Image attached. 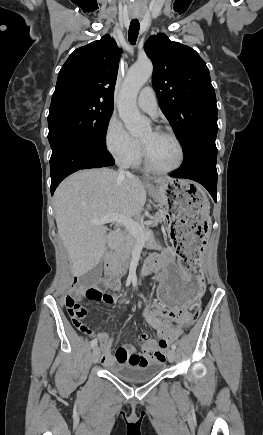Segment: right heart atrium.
<instances>
[{"mask_svg": "<svg viewBox=\"0 0 263 435\" xmlns=\"http://www.w3.org/2000/svg\"><path fill=\"white\" fill-rule=\"evenodd\" d=\"M104 143L109 154L121 165H131L141 156V144L112 116L105 128Z\"/></svg>", "mask_w": 263, "mask_h": 435, "instance_id": "obj_1", "label": "right heart atrium"}]
</instances>
